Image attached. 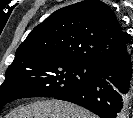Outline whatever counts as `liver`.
<instances>
[{
	"mask_svg": "<svg viewBox=\"0 0 133 118\" xmlns=\"http://www.w3.org/2000/svg\"><path fill=\"white\" fill-rule=\"evenodd\" d=\"M12 118H96L88 110L66 101H37L19 106L11 112Z\"/></svg>",
	"mask_w": 133,
	"mask_h": 118,
	"instance_id": "obj_1",
	"label": "liver"
}]
</instances>
